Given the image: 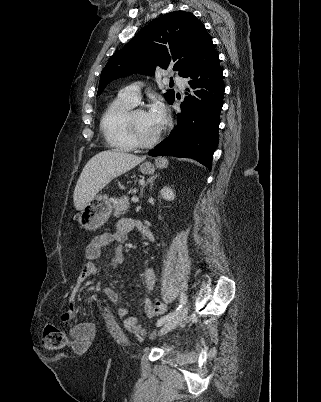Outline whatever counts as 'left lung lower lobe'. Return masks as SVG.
I'll list each match as a JSON object with an SVG mask.
<instances>
[{"label":"left lung lower lobe","instance_id":"obj_1","mask_svg":"<svg viewBox=\"0 0 321 402\" xmlns=\"http://www.w3.org/2000/svg\"><path fill=\"white\" fill-rule=\"evenodd\" d=\"M182 77L187 78L186 90L191 94L181 103L176 128L149 155L188 157L211 170L225 91L223 70L211 38Z\"/></svg>","mask_w":321,"mask_h":402}]
</instances>
